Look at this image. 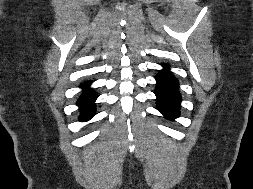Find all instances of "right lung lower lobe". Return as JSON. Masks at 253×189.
I'll list each match as a JSON object with an SVG mask.
<instances>
[{
  "label": "right lung lower lobe",
  "instance_id": "obj_1",
  "mask_svg": "<svg viewBox=\"0 0 253 189\" xmlns=\"http://www.w3.org/2000/svg\"><path fill=\"white\" fill-rule=\"evenodd\" d=\"M90 84L91 82L87 81L80 85V87L84 88L85 92L80 96L77 101V105L81 110L79 121H87L95 115L94 102L97 98V95L94 91L89 89Z\"/></svg>",
  "mask_w": 253,
  "mask_h": 189
}]
</instances>
